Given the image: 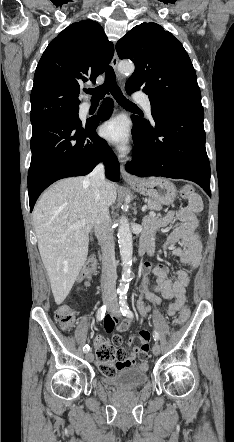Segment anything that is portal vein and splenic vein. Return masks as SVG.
Wrapping results in <instances>:
<instances>
[{
  "label": "portal vein and splenic vein",
  "mask_w": 234,
  "mask_h": 442,
  "mask_svg": "<svg viewBox=\"0 0 234 442\" xmlns=\"http://www.w3.org/2000/svg\"><path fill=\"white\" fill-rule=\"evenodd\" d=\"M146 209H147V206L144 205V206L142 207V211L145 212ZM85 224H86V223H85V220H81V221H78V222H76V223H74V224H70V225H69V228H70V229H79V228L84 227Z\"/></svg>",
  "instance_id": "portal-vein-and-splenic-vein-1"
}]
</instances>
